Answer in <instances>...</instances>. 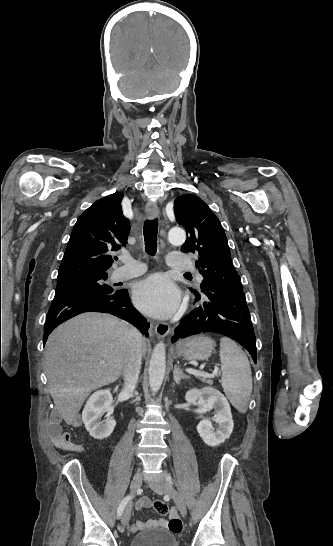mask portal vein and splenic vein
Wrapping results in <instances>:
<instances>
[{
	"instance_id": "obj_1",
	"label": "portal vein and splenic vein",
	"mask_w": 333,
	"mask_h": 546,
	"mask_svg": "<svg viewBox=\"0 0 333 546\" xmlns=\"http://www.w3.org/2000/svg\"><path fill=\"white\" fill-rule=\"evenodd\" d=\"M100 363L104 364L105 361L102 360V361H100ZM186 372L189 373V374H193L195 376L213 377V376L218 374V368H215V370H214V372L212 374H208V373L202 372V371H197V370H194V369H191V368H187Z\"/></svg>"
}]
</instances>
